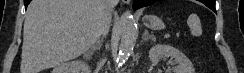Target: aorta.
I'll return each mask as SVG.
<instances>
[{"label":"aorta","mask_w":244,"mask_h":73,"mask_svg":"<svg viewBox=\"0 0 244 73\" xmlns=\"http://www.w3.org/2000/svg\"><path fill=\"white\" fill-rule=\"evenodd\" d=\"M136 41V23L129 11L121 17V41L119 46L118 61L124 62L133 51Z\"/></svg>","instance_id":"obj_1"}]
</instances>
